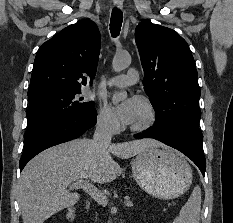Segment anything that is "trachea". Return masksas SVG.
I'll return each instance as SVG.
<instances>
[{
	"instance_id": "3493384b",
	"label": "trachea",
	"mask_w": 233,
	"mask_h": 223,
	"mask_svg": "<svg viewBox=\"0 0 233 223\" xmlns=\"http://www.w3.org/2000/svg\"><path fill=\"white\" fill-rule=\"evenodd\" d=\"M123 15L122 12L114 8L112 10L111 19H110V32L113 37H117L119 35L121 26H122Z\"/></svg>"
}]
</instances>
